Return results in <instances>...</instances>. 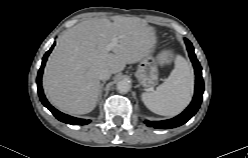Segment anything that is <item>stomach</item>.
Instances as JSON below:
<instances>
[{"mask_svg": "<svg viewBox=\"0 0 248 158\" xmlns=\"http://www.w3.org/2000/svg\"><path fill=\"white\" fill-rule=\"evenodd\" d=\"M165 62V55H161L158 59L150 55L143 58L135 73L139 83L146 89L154 87L158 82V64L162 65Z\"/></svg>", "mask_w": 248, "mask_h": 158, "instance_id": "stomach-1", "label": "stomach"}]
</instances>
